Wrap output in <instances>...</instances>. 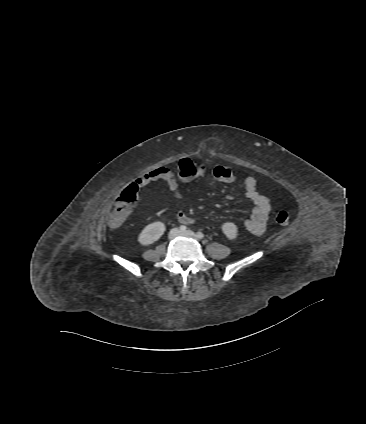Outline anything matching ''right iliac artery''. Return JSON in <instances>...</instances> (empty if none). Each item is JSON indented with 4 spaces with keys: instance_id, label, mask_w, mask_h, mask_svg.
I'll use <instances>...</instances> for the list:
<instances>
[{
    "instance_id": "obj_1",
    "label": "right iliac artery",
    "mask_w": 366,
    "mask_h": 424,
    "mask_svg": "<svg viewBox=\"0 0 366 424\" xmlns=\"http://www.w3.org/2000/svg\"><path fill=\"white\" fill-rule=\"evenodd\" d=\"M179 229H180V231L185 232V231L187 230V227H186V226H184V225H181V226L179 227Z\"/></svg>"
}]
</instances>
